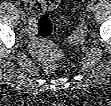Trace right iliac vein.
I'll list each match as a JSON object with an SVG mask.
<instances>
[{
    "label": "right iliac vein",
    "instance_id": "right-iliac-vein-1",
    "mask_svg": "<svg viewBox=\"0 0 111 106\" xmlns=\"http://www.w3.org/2000/svg\"><path fill=\"white\" fill-rule=\"evenodd\" d=\"M18 15H19V18H20L21 20H24L25 17H26V15H25L24 12H19Z\"/></svg>",
    "mask_w": 111,
    "mask_h": 106
}]
</instances>
